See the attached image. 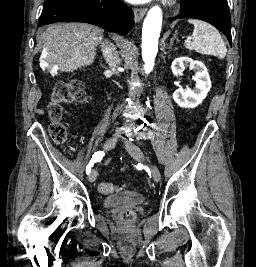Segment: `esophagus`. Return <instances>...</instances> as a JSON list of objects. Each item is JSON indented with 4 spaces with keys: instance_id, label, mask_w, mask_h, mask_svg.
<instances>
[{
    "instance_id": "esophagus-1",
    "label": "esophagus",
    "mask_w": 256,
    "mask_h": 267,
    "mask_svg": "<svg viewBox=\"0 0 256 267\" xmlns=\"http://www.w3.org/2000/svg\"><path fill=\"white\" fill-rule=\"evenodd\" d=\"M146 12L147 8H135L134 10L135 22H140V20L144 17Z\"/></svg>"
}]
</instances>
